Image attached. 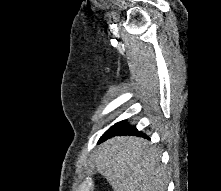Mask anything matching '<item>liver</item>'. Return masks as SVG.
Returning <instances> with one entry per match:
<instances>
[{"mask_svg":"<svg viewBox=\"0 0 221 191\" xmlns=\"http://www.w3.org/2000/svg\"><path fill=\"white\" fill-rule=\"evenodd\" d=\"M160 158L143 138L116 136L98 148L95 165L114 191H165L168 176Z\"/></svg>","mask_w":221,"mask_h":191,"instance_id":"obj_1","label":"liver"}]
</instances>
